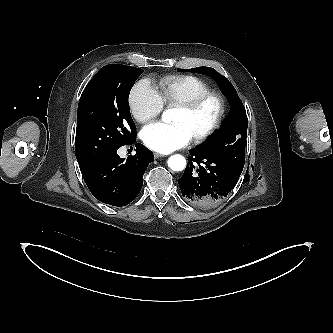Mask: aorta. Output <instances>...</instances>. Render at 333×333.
<instances>
[{
  "label": "aorta",
  "mask_w": 333,
  "mask_h": 333,
  "mask_svg": "<svg viewBox=\"0 0 333 333\" xmlns=\"http://www.w3.org/2000/svg\"><path fill=\"white\" fill-rule=\"evenodd\" d=\"M173 117V110L168 109L163 112L162 120L166 123L171 122ZM168 166L173 171H182L186 166V160L182 155L175 154L168 159Z\"/></svg>",
  "instance_id": "aorta-1"
}]
</instances>
